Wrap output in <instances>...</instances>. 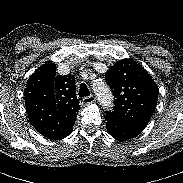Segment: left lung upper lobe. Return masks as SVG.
I'll return each instance as SVG.
<instances>
[{"label":"left lung upper lobe","mask_w":183,"mask_h":183,"mask_svg":"<svg viewBox=\"0 0 183 183\" xmlns=\"http://www.w3.org/2000/svg\"><path fill=\"white\" fill-rule=\"evenodd\" d=\"M115 98L107 116L127 123L146 126L155 110L158 87L150 74L131 59L117 61L105 74Z\"/></svg>","instance_id":"5c2ea615"}]
</instances>
